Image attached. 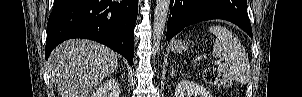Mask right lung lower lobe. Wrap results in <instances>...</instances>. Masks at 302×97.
<instances>
[{
  "label": "right lung lower lobe",
  "mask_w": 302,
  "mask_h": 97,
  "mask_svg": "<svg viewBox=\"0 0 302 97\" xmlns=\"http://www.w3.org/2000/svg\"><path fill=\"white\" fill-rule=\"evenodd\" d=\"M138 0H54L45 57L61 42L85 38L102 43L133 63Z\"/></svg>",
  "instance_id": "right-lung-lower-lobe-1"
}]
</instances>
